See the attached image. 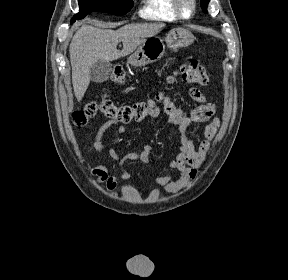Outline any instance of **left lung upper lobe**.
<instances>
[{"label":"left lung upper lobe","instance_id":"obj_1","mask_svg":"<svg viewBox=\"0 0 288 280\" xmlns=\"http://www.w3.org/2000/svg\"><path fill=\"white\" fill-rule=\"evenodd\" d=\"M209 0H201V7L202 10L207 13V5H208Z\"/></svg>","mask_w":288,"mask_h":280}]
</instances>
